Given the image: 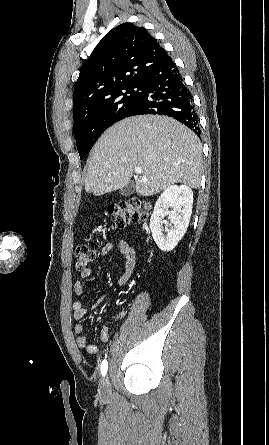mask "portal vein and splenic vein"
<instances>
[{
	"instance_id": "18ae733b",
	"label": "portal vein and splenic vein",
	"mask_w": 269,
	"mask_h": 445,
	"mask_svg": "<svg viewBox=\"0 0 269 445\" xmlns=\"http://www.w3.org/2000/svg\"><path fill=\"white\" fill-rule=\"evenodd\" d=\"M136 174H141L142 173V168L141 167H135L134 169Z\"/></svg>"
}]
</instances>
